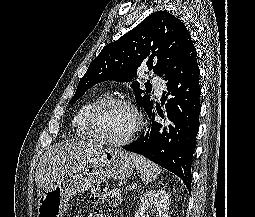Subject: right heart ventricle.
I'll list each match as a JSON object with an SVG mask.
<instances>
[{
  "label": "right heart ventricle",
  "mask_w": 255,
  "mask_h": 217,
  "mask_svg": "<svg viewBox=\"0 0 255 217\" xmlns=\"http://www.w3.org/2000/svg\"><path fill=\"white\" fill-rule=\"evenodd\" d=\"M106 99L105 95H98L95 98L84 103L75 113L72 125L76 135L83 140H97L98 138L91 131L88 124V114L90 110L100 101Z\"/></svg>",
  "instance_id": "obj_1"
}]
</instances>
